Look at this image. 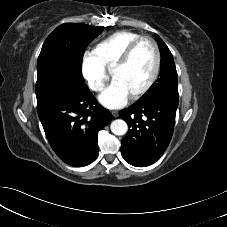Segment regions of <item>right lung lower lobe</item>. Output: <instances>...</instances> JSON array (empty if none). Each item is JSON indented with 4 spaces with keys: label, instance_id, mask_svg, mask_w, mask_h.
Wrapping results in <instances>:
<instances>
[{
    "label": "right lung lower lobe",
    "instance_id": "98d812e1",
    "mask_svg": "<svg viewBox=\"0 0 227 227\" xmlns=\"http://www.w3.org/2000/svg\"><path fill=\"white\" fill-rule=\"evenodd\" d=\"M37 111L58 157L83 167L98 156V132L112 119L85 84L65 81L37 95Z\"/></svg>",
    "mask_w": 227,
    "mask_h": 227
}]
</instances>
